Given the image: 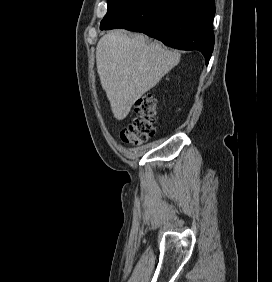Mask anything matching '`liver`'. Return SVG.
<instances>
[{
  "label": "liver",
  "mask_w": 272,
  "mask_h": 282,
  "mask_svg": "<svg viewBox=\"0 0 272 282\" xmlns=\"http://www.w3.org/2000/svg\"><path fill=\"white\" fill-rule=\"evenodd\" d=\"M179 61V52L164 49L142 34L129 37L115 30L104 35L96 47V65L114 117L126 118L135 101Z\"/></svg>",
  "instance_id": "1"
}]
</instances>
